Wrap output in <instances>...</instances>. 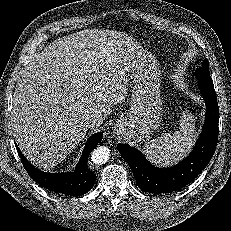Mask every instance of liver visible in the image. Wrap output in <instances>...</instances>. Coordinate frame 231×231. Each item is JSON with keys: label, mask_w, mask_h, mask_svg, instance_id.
<instances>
[{"label": "liver", "mask_w": 231, "mask_h": 231, "mask_svg": "<svg viewBox=\"0 0 231 231\" xmlns=\"http://www.w3.org/2000/svg\"><path fill=\"white\" fill-rule=\"evenodd\" d=\"M140 44L118 31L85 29L54 40L20 74L11 121L26 158L39 168L61 163L84 139L89 118L102 122L125 100Z\"/></svg>", "instance_id": "6515ba94"}]
</instances>
